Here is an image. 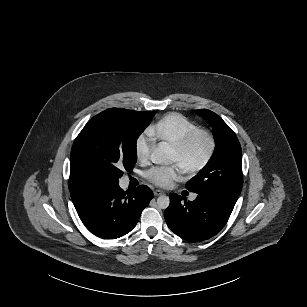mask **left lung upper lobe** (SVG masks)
<instances>
[{
  "mask_svg": "<svg viewBox=\"0 0 307 307\" xmlns=\"http://www.w3.org/2000/svg\"><path fill=\"white\" fill-rule=\"evenodd\" d=\"M196 112L211 124L216 145L209 162L186 184V188L197 194L236 203L243 185L240 143L217 114L207 109Z\"/></svg>",
  "mask_w": 307,
  "mask_h": 307,
  "instance_id": "left-lung-upper-lobe-1",
  "label": "left lung upper lobe"
}]
</instances>
